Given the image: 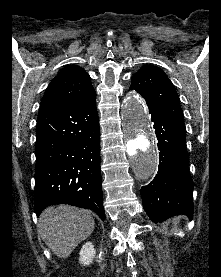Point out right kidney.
Returning a JSON list of instances; mask_svg holds the SVG:
<instances>
[{
	"label": "right kidney",
	"instance_id": "1",
	"mask_svg": "<svg viewBox=\"0 0 221 277\" xmlns=\"http://www.w3.org/2000/svg\"><path fill=\"white\" fill-rule=\"evenodd\" d=\"M95 257V249L91 242H87L80 250L79 261L83 265H90Z\"/></svg>",
	"mask_w": 221,
	"mask_h": 277
}]
</instances>
